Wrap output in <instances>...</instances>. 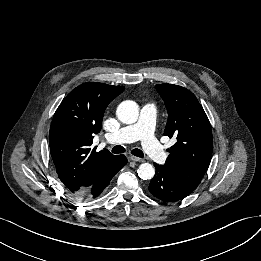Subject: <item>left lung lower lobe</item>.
<instances>
[{
	"label": "left lung lower lobe",
	"mask_w": 261,
	"mask_h": 261,
	"mask_svg": "<svg viewBox=\"0 0 261 261\" xmlns=\"http://www.w3.org/2000/svg\"><path fill=\"white\" fill-rule=\"evenodd\" d=\"M155 176L149 184L150 193L164 202H175L187 197L191 192L182 188L162 165L154 163Z\"/></svg>",
	"instance_id": "0a47b994"
}]
</instances>
